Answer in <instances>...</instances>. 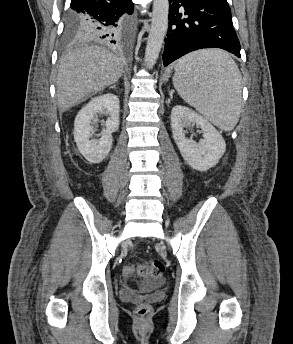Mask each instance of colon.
Returning <instances> with one entry per match:
<instances>
[{"instance_id":"5ec220e1","label":"colon","mask_w":293,"mask_h":344,"mask_svg":"<svg viewBox=\"0 0 293 344\" xmlns=\"http://www.w3.org/2000/svg\"><path fill=\"white\" fill-rule=\"evenodd\" d=\"M165 273V265L161 260L153 259L143 264L130 265L125 267L124 275L131 277L136 274L140 278L150 282H156L163 277ZM151 307L149 304H140L136 308V315L143 319L150 314Z\"/></svg>"}]
</instances>
